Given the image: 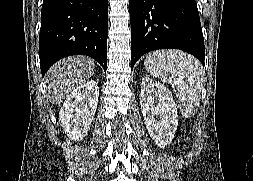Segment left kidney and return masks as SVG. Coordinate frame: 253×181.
I'll use <instances>...</instances> for the list:
<instances>
[{"mask_svg": "<svg viewBox=\"0 0 253 181\" xmlns=\"http://www.w3.org/2000/svg\"><path fill=\"white\" fill-rule=\"evenodd\" d=\"M140 97L148 133L158 147L164 148L172 141L178 126L177 106L173 96L163 84L145 76Z\"/></svg>", "mask_w": 253, "mask_h": 181, "instance_id": "1", "label": "left kidney"}]
</instances>
